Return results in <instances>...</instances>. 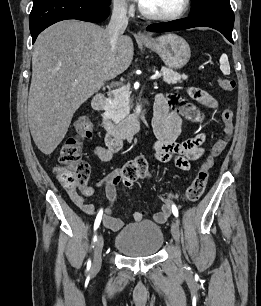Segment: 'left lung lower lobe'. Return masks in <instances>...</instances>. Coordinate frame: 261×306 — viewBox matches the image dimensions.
Instances as JSON below:
<instances>
[{
    "label": "left lung lower lobe",
    "mask_w": 261,
    "mask_h": 306,
    "mask_svg": "<svg viewBox=\"0 0 261 306\" xmlns=\"http://www.w3.org/2000/svg\"><path fill=\"white\" fill-rule=\"evenodd\" d=\"M234 25V13L232 10L221 13H214L201 16H189L188 18L170 22L152 24L147 27L148 31L164 32L183 30L193 27H211L221 32L230 42L233 43L232 30Z\"/></svg>",
    "instance_id": "1"
}]
</instances>
